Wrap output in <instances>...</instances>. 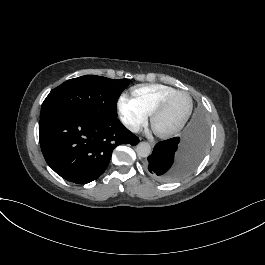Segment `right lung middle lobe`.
<instances>
[{
  "label": "right lung middle lobe",
  "mask_w": 265,
  "mask_h": 265,
  "mask_svg": "<svg viewBox=\"0 0 265 265\" xmlns=\"http://www.w3.org/2000/svg\"><path fill=\"white\" fill-rule=\"evenodd\" d=\"M129 79L85 75L53 89L42 104L40 119L59 111L73 110L101 119H116V104Z\"/></svg>",
  "instance_id": "right-lung-middle-lobe-1"
}]
</instances>
